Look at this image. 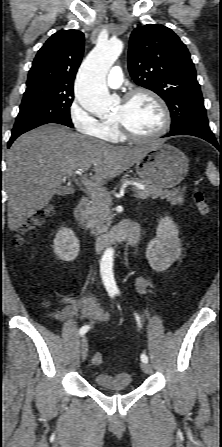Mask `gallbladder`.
Instances as JSON below:
<instances>
[{
    "instance_id": "gallbladder-1",
    "label": "gallbladder",
    "mask_w": 222,
    "mask_h": 447,
    "mask_svg": "<svg viewBox=\"0 0 222 447\" xmlns=\"http://www.w3.org/2000/svg\"><path fill=\"white\" fill-rule=\"evenodd\" d=\"M70 192H71V188L64 187V188L59 189V190L56 192V194H57V195H67V194H69Z\"/></svg>"
}]
</instances>
